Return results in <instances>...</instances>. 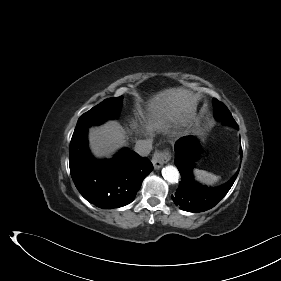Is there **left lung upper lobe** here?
Returning a JSON list of instances; mask_svg holds the SVG:
<instances>
[{
	"label": "left lung upper lobe",
	"instance_id": "left-lung-upper-lobe-1",
	"mask_svg": "<svg viewBox=\"0 0 281 281\" xmlns=\"http://www.w3.org/2000/svg\"><path fill=\"white\" fill-rule=\"evenodd\" d=\"M213 104L216 119L221 120L228 125L238 127L228 108L222 102L213 99Z\"/></svg>",
	"mask_w": 281,
	"mask_h": 281
}]
</instances>
